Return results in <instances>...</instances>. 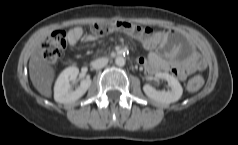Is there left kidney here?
<instances>
[{
	"instance_id": "1",
	"label": "left kidney",
	"mask_w": 238,
	"mask_h": 145,
	"mask_svg": "<svg viewBox=\"0 0 238 145\" xmlns=\"http://www.w3.org/2000/svg\"><path fill=\"white\" fill-rule=\"evenodd\" d=\"M155 76L159 79L166 80L171 87V90L157 91L151 85L146 84L143 86V90L149 98L163 104H170L181 98L183 89L179 81L174 76L164 72H158Z\"/></svg>"
}]
</instances>
